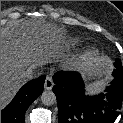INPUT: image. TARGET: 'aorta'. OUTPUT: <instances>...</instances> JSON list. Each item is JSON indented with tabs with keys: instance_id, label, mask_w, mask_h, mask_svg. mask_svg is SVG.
<instances>
[{
	"instance_id": "obj_1",
	"label": "aorta",
	"mask_w": 123,
	"mask_h": 123,
	"mask_svg": "<svg viewBox=\"0 0 123 123\" xmlns=\"http://www.w3.org/2000/svg\"><path fill=\"white\" fill-rule=\"evenodd\" d=\"M41 101L46 106H51L56 102L55 94L50 90H45L41 94Z\"/></svg>"
}]
</instances>
